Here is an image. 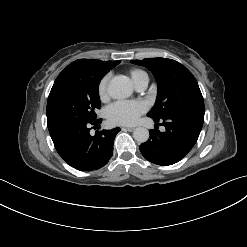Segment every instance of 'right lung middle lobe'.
<instances>
[{"instance_id":"obj_1","label":"right lung middle lobe","mask_w":247,"mask_h":247,"mask_svg":"<svg viewBox=\"0 0 247 247\" xmlns=\"http://www.w3.org/2000/svg\"><path fill=\"white\" fill-rule=\"evenodd\" d=\"M107 72L108 70H104L56 78L47 101L49 132L65 123L96 120L95 110L101 107L99 83Z\"/></svg>"}]
</instances>
